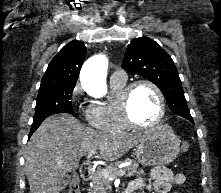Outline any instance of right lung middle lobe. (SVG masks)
Here are the masks:
<instances>
[{
	"label": "right lung middle lobe",
	"mask_w": 221,
	"mask_h": 193,
	"mask_svg": "<svg viewBox=\"0 0 221 193\" xmlns=\"http://www.w3.org/2000/svg\"><path fill=\"white\" fill-rule=\"evenodd\" d=\"M75 85L40 88L37 96L33 122L57 113L74 115L71 96Z\"/></svg>",
	"instance_id": "dd1d6c3e"
}]
</instances>
